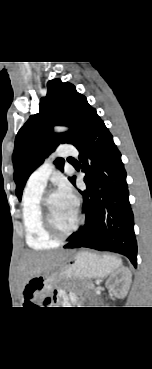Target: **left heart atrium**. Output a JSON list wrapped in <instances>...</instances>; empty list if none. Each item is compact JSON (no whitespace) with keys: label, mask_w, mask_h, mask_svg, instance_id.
<instances>
[{"label":"left heart atrium","mask_w":152,"mask_h":369,"mask_svg":"<svg viewBox=\"0 0 152 369\" xmlns=\"http://www.w3.org/2000/svg\"><path fill=\"white\" fill-rule=\"evenodd\" d=\"M56 194L69 206L77 208L78 201L71 186L66 181H60Z\"/></svg>","instance_id":"1"}]
</instances>
